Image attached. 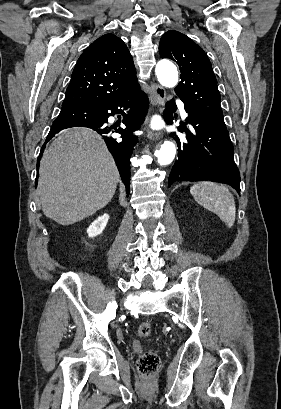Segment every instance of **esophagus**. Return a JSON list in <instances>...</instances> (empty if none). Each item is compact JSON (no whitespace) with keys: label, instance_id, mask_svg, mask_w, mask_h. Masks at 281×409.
Listing matches in <instances>:
<instances>
[{"label":"esophagus","instance_id":"34e87169","mask_svg":"<svg viewBox=\"0 0 281 409\" xmlns=\"http://www.w3.org/2000/svg\"><path fill=\"white\" fill-rule=\"evenodd\" d=\"M152 97L151 104L153 108L162 109L166 100V91L161 85L151 83ZM147 136L150 140H159L162 137V132L152 131L148 129Z\"/></svg>","mask_w":281,"mask_h":409}]
</instances>
